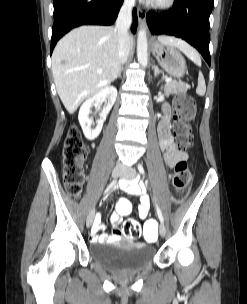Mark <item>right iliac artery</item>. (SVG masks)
<instances>
[{
  "label": "right iliac artery",
  "mask_w": 247,
  "mask_h": 304,
  "mask_svg": "<svg viewBox=\"0 0 247 304\" xmlns=\"http://www.w3.org/2000/svg\"><path fill=\"white\" fill-rule=\"evenodd\" d=\"M115 184H116V180H113V181L109 184V186L106 188L104 194H108V193H109V188H110L111 186H115Z\"/></svg>",
  "instance_id": "obj_1"
}]
</instances>
